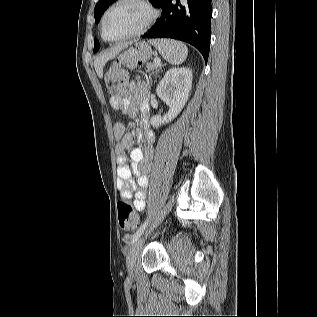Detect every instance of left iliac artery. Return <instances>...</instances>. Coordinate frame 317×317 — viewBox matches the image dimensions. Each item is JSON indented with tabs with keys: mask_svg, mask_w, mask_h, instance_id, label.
<instances>
[{
	"mask_svg": "<svg viewBox=\"0 0 317 317\" xmlns=\"http://www.w3.org/2000/svg\"><path fill=\"white\" fill-rule=\"evenodd\" d=\"M148 222H149V218L146 219L144 223L140 226V228L132 235L131 243L136 241L142 235V233L144 232L145 228L148 225Z\"/></svg>",
	"mask_w": 317,
	"mask_h": 317,
	"instance_id": "obj_1",
	"label": "left iliac artery"
}]
</instances>
